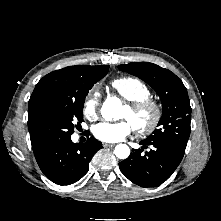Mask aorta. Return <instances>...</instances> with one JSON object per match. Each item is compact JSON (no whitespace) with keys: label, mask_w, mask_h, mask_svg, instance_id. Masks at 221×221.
<instances>
[{"label":"aorta","mask_w":221,"mask_h":221,"mask_svg":"<svg viewBox=\"0 0 221 221\" xmlns=\"http://www.w3.org/2000/svg\"><path fill=\"white\" fill-rule=\"evenodd\" d=\"M122 108V103L117 97H108L101 107V114L107 121L118 119V111ZM114 153L119 159H126L130 155V148L126 144H118Z\"/></svg>","instance_id":"obj_1"}]
</instances>
